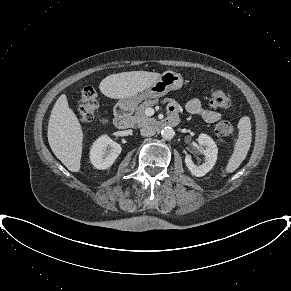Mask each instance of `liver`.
Wrapping results in <instances>:
<instances>
[{
  "label": "liver",
  "instance_id": "6515ba94",
  "mask_svg": "<svg viewBox=\"0 0 291 291\" xmlns=\"http://www.w3.org/2000/svg\"><path fill=\"white\" fill-rule=\"evenodd\" d=\"M161 74L147 71L122 72L105 77L100 91L112 99L134 96L153 85ZM48 142L55 156L72 172L81 166L83 131L77 115L62 94L56 101L48 123Z\"/></svg>",
  "mask_w": 291,
  "mask_h": 291
}]
</instances>
